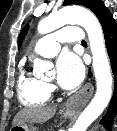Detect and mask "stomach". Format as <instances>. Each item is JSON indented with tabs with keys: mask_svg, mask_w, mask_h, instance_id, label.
Segmentation results:
<instances>
[{
	"mask_svg": "<svg viewBox=\"0 0 117 131\" xmlns=\"http://www.w3.org/2000/svg\"><path fill=\"white\" fill-rule=\"evenodd\" d=\"M73 115L72 110H64L63 111V117H70ZM12 130L14 131H38V128L32 125L27 124H20V125H14L12 127Z\"/></svg>",
	"mask_w": 117,
	"mask_h": 131,
	"instance_id": "stomach-1",
	"label": "stomach"
}]
</instances>
